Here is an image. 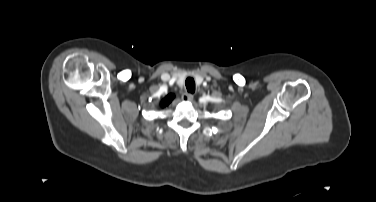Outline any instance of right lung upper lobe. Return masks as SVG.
I'll return each instance as SVG.
<instances>
[{"mask_svg":"<svg viewBox=\"0 0 376 202\" xmlns=\"http://www.w3.org/2000/svg\"><path fill=\"white\" fill-rule=\"evenodd\" d=\"M174 95L173 94H169L167 95L160 103V106L161 107H166L167 105H169V103L174 99Z\"/></svg>","mask_w":376,"mask_h":202,"instance_id":"obj_1","label":"right lung upper lobe"}]
</instances>
